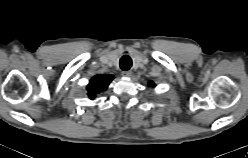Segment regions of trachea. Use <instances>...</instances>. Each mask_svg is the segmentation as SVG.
Returning <instances> with one entry per match:
<instances>
[{"instance_id":"1","label":"trachea","mask_w":248,"mask_h":158,"mask_svg":"<svg viewBox=\"0 0 248 158\" xmlns=\"http://www.w3.org/2000/svg\"><path fill=\"white\" fill-rule=\"evenodd\" d=\"M132 66V60L128 55H124L121 59H120V68L122 70H128L130 69V67Z\"/></svg>"}]
</instances>
